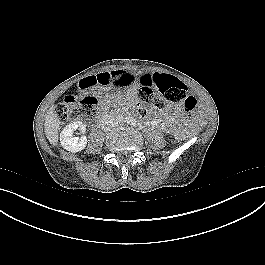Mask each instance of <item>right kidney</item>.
I'll return each mask as SVG.
<instances>
[{"instance_id":"obj_1","label":"right kidney","mask_w":265,"mask_h":265,"mask_svg":"<svg viewBox=\"0 0 265 265\" xmlns=\"http://www.w3.org/2000/svg\"><path fill=\"white\" fill-rule=\"evenodd\" d=\"M76 129H79L84 134L86 125L80 121L73 122L68 124L60 133L62 147L73 153L82 151L87 145V138L85 136L79 138L73 135Z\"/></svg>"}]
</instances>
